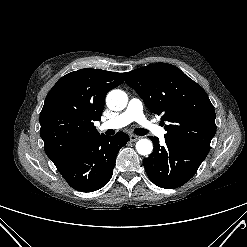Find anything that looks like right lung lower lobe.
I'll list each match as a JSON object with an SVG mask.
<instances>
[{
    "label": "right lung lower lobe",
    "mask_w": 247,
    "mask_h": 247,
    "mask_svg": "<svg viewBox=\"0 0 247 247\" xmlns=\"http://www.w3.org/2000/svg\"><path fill=\"white\" fill-rule=\"evenodd\" d=\"M128 141L124 132L112 137L101 134L82 144L57 169L72 188L96 191L111 179L117 153Z\"/></svg>",
    "instance_id": "98d812e1"
}]
</instances>
